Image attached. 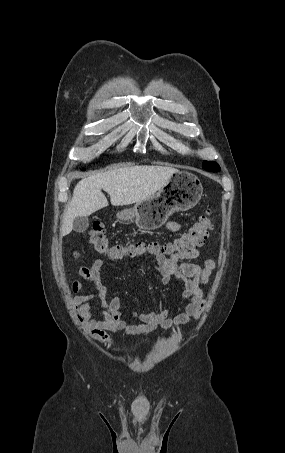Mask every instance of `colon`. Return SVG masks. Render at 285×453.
<instances>
[{"instance_id":"colon-1","label":"colon","mask_w":285,"mask_h":453,"mask_svg":"<svg viewBox=\"0 0 285 453\" xmlns=\"http://www.w3.org/2000/svg\"><path fill=\"white\" fill-rule=\"evenodd\" d=\"M212 227V215L210 212H206L187 231L169 242L163 244L136 242L129 245H121L111 244L104 226L100 223H94L89 231V243L94 252L107 255L112 259H122L126 256L142 254L161 255L165 258H170L189 254L203 246Z\"/></svg>"}]
</instances>
